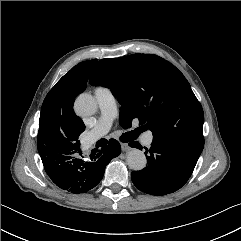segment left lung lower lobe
Returning <instances> with one entry per match:
<instances>
[{"label":"left lung lower lobe","mask_w":241,"mask_h":241,"mask_svg":"<svg viewBox=\"0 0 241 241\" xmlns=\"http://www.w3.org/2000/svg\"><path fill=\"white\" fill-rule=\"evenodd\" d=\"M131 147L142 149L133 141ZM145 155L148 165L131 174L134 185L151 195H166L180 189L191 176L200 151L163 139H154Z\"/></svg>","instance_id":"left-lung-lower-lobe-1"}]
</instances>
